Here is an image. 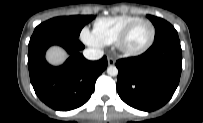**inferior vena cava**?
<instances>
[{
  "mask_svg": "<svg viewBox=\"0 0 203 123\" xmlns=\"http://www.w3.org/2000/svg\"><path fill=\"white\" fill-rule=\"evenodd\" d=\"M83 55L88 60H98L103 57L104 51L101 49L87 48L83 51Z\"/></svg>",
  "mask_w": 203,
  "mask_h": 123,
  "instance_id": "1",
  "label": "inferior vena cava"
}]
</instances>
